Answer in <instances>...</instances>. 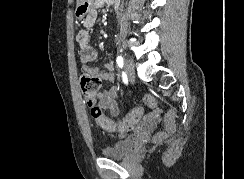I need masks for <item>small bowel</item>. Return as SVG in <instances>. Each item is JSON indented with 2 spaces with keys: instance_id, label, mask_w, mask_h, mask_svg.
<instances>
[{
  "instance_id": "obj_1",
  "label": "small bowel",
  "mask_w": 244,
  "mask_h": 179,
  "mask_svg": "<svg viewBox=\"0 0 244 179\" xmlns=\"http://www.w3.org/2000/svg\"><path fill=\"white\" fill-rule=\"evenodd\" d=\"M106 4L107 2L105 1H93L90 3V12L87 13V18H79L82 21V28L77 34V42L79 45V59L81 62L82 70L86 73L97 75L101 80L113 81L115 77V65L113 61H106L104 70L90 65L91 62L97 59L98 54L96 49L90 44L89 31L96 23L98 9L104 7ZM114 10L120 12V9L117 5L114 6ZM117 95V90L113 87L100 92L97 97L98 105L101 108L111 112L112 114H117L119 111ZM129 116H141V112L140 114H130ZM124 127H130V130H132L135 126Z\"/></svg>"
}]
</instances>
